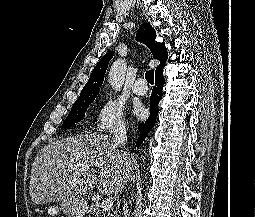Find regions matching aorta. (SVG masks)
I'll return each mask as SVG.
<instances>
[{
  "instance_id": "762f6f07",
  "label": "aorta",
  "mask_w": 255,
  "mask_h": 217,
  "mask_svg": "<svg viewBox=\"0 0 255 217\" xmlns=\"http://www.w3.org/2000/svg\"><path fill=\"white\" fill-rule=\"evenodd\" d=\"M126 64L123 60L118 59L113 63L109 70V83L115 90H120L124 83Z\"/></svg>"
}]
</instances>
